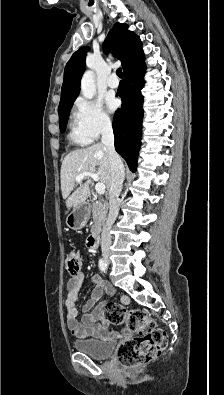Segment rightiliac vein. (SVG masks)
I'll return each mask as SVG.
<instances>
[{
	"instance_id": "obj_1",
	"label": "right iliac vein",
	"mask_w": 224,
	"mask_h": 395,
	"mask_svg": "<svg viewBox=\"0 0 224 395\" xmlns=\"http://www.w3.org/2000/svg\"><path fill=\"white\" fill-rule=\"evenodd\" d=\"M104 259L106 260V262H109V256L108 255H105Z\"/></svg>"
}]
</instances>
